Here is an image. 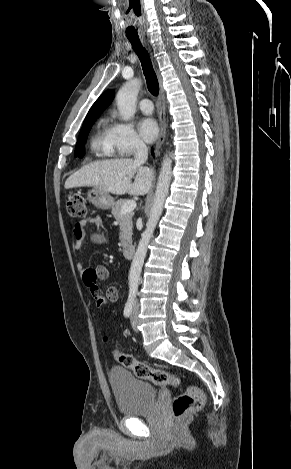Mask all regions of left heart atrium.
I'll use <instances>...</instances> for the list:
<instances>
[{"label": "left heart atrium", "mask_w": 291, "mask_h": 469, "mask_svg": "<svg viewBox=\"0 0 291 469\" xmlns=\"http://www.w3.org/2000/svg\"><path fill=\"white\" fill-rule=\"evenodd\" d=\"M139 130L141 135L147 142L155 140L158 135L157 123L152 118H143L139 122Z\"/></svg>", "instance_id": "left-heart-atrium-1"}]
</instances>
